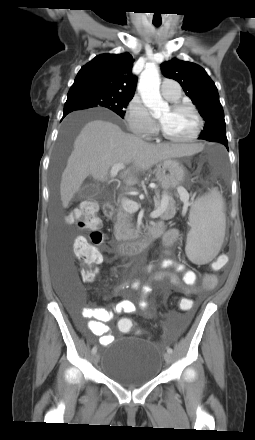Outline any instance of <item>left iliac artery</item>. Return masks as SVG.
Instances as JSON below:
<instances>
[{
	"mask_svg": "<svg viewBox=\"0 0 255 440\" xmlns=\"http://www.w3.org/2000/svg\"><path fill=\"white\" fill-rule=\"evenodd\" d=\"M167 352L171 354L173 352L172 348H167Z\"/></svg>",
	"mask_w": 255,
	"mask_h": 440,
	"instance_id": "44dca946",
	"label": "left iliac artery"
}]
</instances>
